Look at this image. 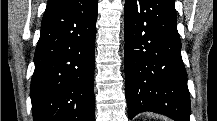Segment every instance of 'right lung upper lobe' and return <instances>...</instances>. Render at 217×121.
Wrapping results in <instances>:
<instances>
[{"label": "right lung upper lobe", "mask_w": 217, "mask_h": 121, "mask_svg": "<svg viewBox=\"0 0 217 121\" xmlns=\"http://www.w3.org/2000/svg\"><path fill=\"white\" fill-rule=\"evenodd\" d=\"M68 0H48V5H52V4H56V3H62V2H66Z\"/></svg>", "instance_id": "obj_1"}]
</instances>
